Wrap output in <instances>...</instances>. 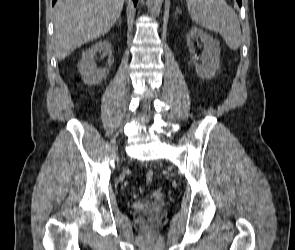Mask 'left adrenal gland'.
<instances>
[{"mask_svg": "<svg viewBox=\"0 0 295 250\" xmlns=\"http://www.w3.org/2000/svg\"><path fill=\"white\" fill-rule=\"evenodd\" d=\"M177 14H181V11L178 8H176L175 16H177Z\"/></svg>", "mask_w": 295, "mask_h": 250, "instance_id": "a2214340", "label": "left adrenal gland"}]
</instances>
